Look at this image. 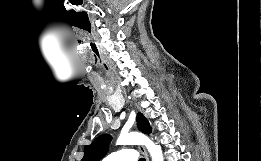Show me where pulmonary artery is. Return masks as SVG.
<instances>
[{"mask_svg":"<svg viewBox=\"0 0 261 161\" xmlns=\"http://www.w3.org/2000/svg\"><path fill=\"white\" fill-rule=\"evenodd\" d=\"M138 153L134 149H120L110 153L102 161H137Z\"/></svg>","mask_w":261,"mask_h":161,"instance_id":"pulmonary-artery-1","label":"pulmonary artery"}]
</instances>
